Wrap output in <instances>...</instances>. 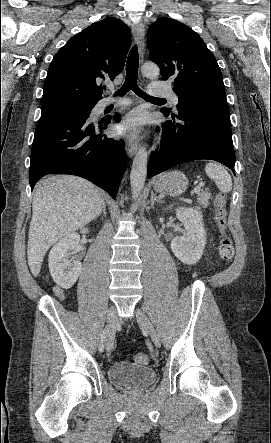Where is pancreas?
<instances>
[{"label": "pancreas", "mask_w": 271, "mask_h": 443, "mask_svg": "<svg viewBox=\"0 0 271 443\" xmlns=\"http://www.w3.org/2000/svg\"><path fill=\"white\" fill-rule=\"evenodd\" d=\"M210 198L211 194L210 192H208V190H203V192H199L197 198L199 206H202V208H207ZM198 210H200V208H198Z\"/></svg>", "instance_id": "cf45deb5"}]
</instances>
